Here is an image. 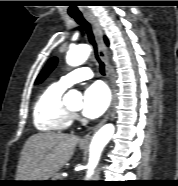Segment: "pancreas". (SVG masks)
<instances>
[{"instance_id": "obj_1", "label": "pancreas", "mask_w": 178, "mask_h": 186, "mask_svg": "<svg viewBox=\"0 0 178 186\" xmlns=\"http://www.w3.org/2000/svg\"><path fill=\"white\" fill-rule=\"evenodd\" d=\"M53 180H62V176H61L59 173H56V174L53 176Z\"/></svg>"}]
</instances>
